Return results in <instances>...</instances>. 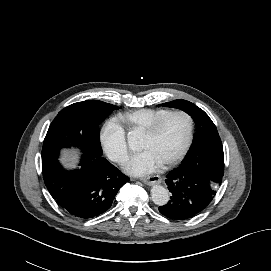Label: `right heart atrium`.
Listing matches in <instances>:
<instances>
[{
    "mask_svg": "<svg viewBox=\"0 0 271 271\" xmlns=\"http://www.w3.org/2000/svg\"><path fill=\"white\" fill-rule=\"evenodd\" d=\"M99 140L103 152L113 162L125 165L130 156L124 128L116 120H108L100 130Z\"/></svg>",
    "mask_w": 271,
    "mask_h": 271,
    "instance_id": "right-heart-atrium-1",
    "label": "right heart atrium"
}]
</instances>
